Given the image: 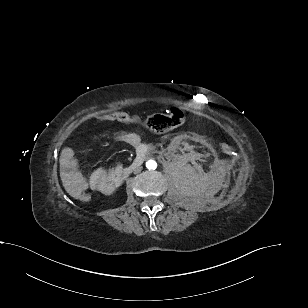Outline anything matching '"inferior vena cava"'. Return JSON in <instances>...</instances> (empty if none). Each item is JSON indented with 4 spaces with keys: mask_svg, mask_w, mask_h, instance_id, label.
I'll return each instance as SVG.
<instances>
[{
    "mask_svg": "<svg viewBox=\"0 0 308 308\" xmlns=\"http://www.w3.org/2000/svg\"><path fill=\"white\" fill-rule=\"evenodd\" d=\"M140 171H141V167H138V168L135 169L136 173H139Z\"/></svg>",
    "mask_w": 308,
    "mask_h": 308,
    "instance_id": "obj_1",
    "label": "inferior vena cava"
}]
</instances>
